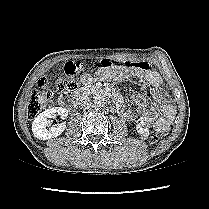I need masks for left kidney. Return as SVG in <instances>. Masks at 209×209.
Segmentation results:
<instances>
[{"instance_id": "obj_1", "label": "left kidney", "mask_w": 209, "mask_h": 209, "mask_svg": "<svg viewBox=\"0 0 209 209\" xmlns=\"http://www.w3.org/2000/svg\"><path fill=\"white\" fill-rule=\"evenodd\" d=\"M136 129L141 136L147 137L149 135V129L148 126L146 125L145 117H141L140 119L137 120Z\"/></svg>"}]
</instances>
